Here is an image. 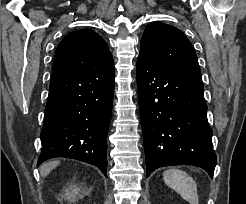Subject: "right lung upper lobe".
I'll list each match as a JSON object with an SVG mask.
<instances>
[{
	"label": "right lung upper lobe",
	"mask_w": 246,
	"mask_h": 204,
	"mask_svg": "<svg viewBox=\"0 0 246 204\" xmlns=\"http://www.w3.org/2000/svg\"><path fill=\"white\" fill-rule=\"evenodd\" d=\"M114 67L106 42L94 31L82 29L67 34L60 42L52 76Z\"/></svg>",
	"instance_id": "right-lung-upper-lobe-1"
}]
</instances>
